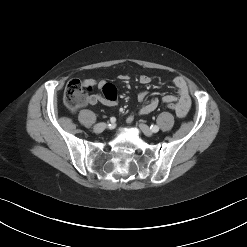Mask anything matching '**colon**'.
<instances>
[{"mask_svg":"<svg viewBox=\"0 0 247 247\" xmlns=\"http://www.w3.org/2000/svg\"><path fill=\"white\" fill-rule=\"evenodd\" d=\"M86 102V95L83 84L79 80L70 81L64 91V104L71 110L76 111L80 109ZM167 107L176 113L177 105L174 102L166 103Z\"/></svg>","mask_w":247,"mask_h":247,"instance_id":"obj_1","label":"colon"}]
</instances>
